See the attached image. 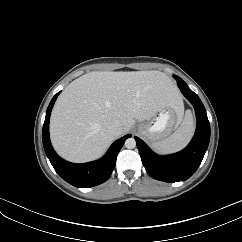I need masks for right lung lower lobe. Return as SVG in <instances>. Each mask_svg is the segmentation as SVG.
I'll return each instance as SVG.
<instances>
[{"instance_id": "98d812e1", "label": "right lung lower lobe", "mask_w": 242, "mask_h": 242, "mask_svg": "<svg viewBox=\"0 0 242 242\" xmlns=\"http://www.w3.org/2000/svg\"><path fill=\"white\" fill-rule=\"evenodd\" d=\"M59 94L60 92L53 97L46 111L42 132L45 153L59 176L71 185L75 187H93L99 185L110 177L116 164L117 155L125 140L131 137V135H125L115 141L105 156L97 161L74 164L63 160L54 151L49 137L50 114Z\"/></svg>"}]
</instances>
